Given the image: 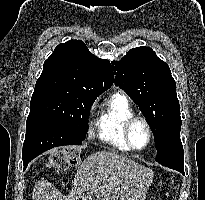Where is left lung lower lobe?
I'll return each instance as SVG.
<instances>
[{
    "instance_id": "left-lung-lower-lobe-1",
    "label": "left lung lower lobe",
    "mask_w": 205,
    "mask_h": 200,
    "mask_svg": "<svg viewBox=\"0 0 205 200\" xmlns=\"http://www.w3.org/2000/svg\"><path fill=\"white\" fill-rule=\"evenodd\" d=\"M181 117L168 125L164 143L157 149L156 161L184 174L183 146L180 139Z\"/></svg>"
}]
</instances>
